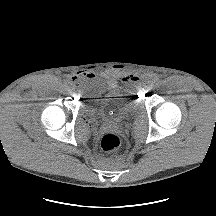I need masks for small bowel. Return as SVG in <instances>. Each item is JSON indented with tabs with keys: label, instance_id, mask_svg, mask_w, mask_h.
<instances>
[{
	"label": "small bowel",
	"instance_id": "obj_1",
	"mask_svg": "<svg viewBox=\"0 0 216 216\" xmlns=\"http://www.w3.org/2000/svg\"><path fill=\"white\" fill-rule=\"evenodd\" d=\"M85 76L87 77V78H89V79H93L94 78V75L93 74H91V73H87V74H85ZM76 78V77H75ZM126 80V79H125ZM136 80H138V77L136 76V75H129L128 77H127V81H136Z\"/></svg>",
	"mask_w": 216,
	"mask_h": 216
}]
</instances>
